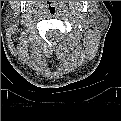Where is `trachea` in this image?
I'll list each match as a JSON object with an SVG mask.
<instances>
[{
	"mask_svg": "<svg viewBox=\"0 0 121 121\" xmlns=\"http://www.w3.org/2000/svg\"><path fill=\"white\" fill-rule=\"evenodd\" d=\"M48 12L50 15H55L58 13V7L54 3H50L48 6Z\"/></svg>",
	"mask_w": 121,
	"mask_h": 121,
	"instance_id": "1",
	"label": "trachea"
}]
</instances>
